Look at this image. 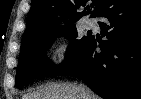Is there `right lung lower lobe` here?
I'll use <instances>...</instances> for the list:
<instances>
[{
  "mask_svg": "<svg viewBox=\"0 0 141 99\" xmlns=\"http://www.w3.org/2000/svg\"><path fill=\"white\" fill-rule=\"evenodd\" d=\"M99 17L107 40L91 37L56 75L80 78L104 99H141V0H113Z\"/></svg>",
  "mask_w": 141,
  "mask_h": 99,
  "instance_id": "1",
  "label": "right lung lower lobe"
}]
</instances>
